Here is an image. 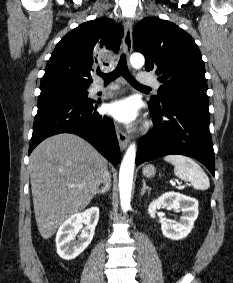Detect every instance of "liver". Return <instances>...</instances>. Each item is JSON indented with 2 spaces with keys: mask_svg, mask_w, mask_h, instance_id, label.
Wrapping results in <instances>:
<instances>
[{
  "mask_svg": "<svg viewBox=\"0 0 233 283\" xmlns=\"http://www.w3.org/2000/svg\"><path fill=\"white\" fill-rule=\"evenodd\" d=\"M106 168V159L95 148L70 133L51 136L33 150L30 181L43 239L51 238L69 217L90 203Z\"/></svg>",
  "mask_w": 233,
  "mask_h": 283,
  "instance_id": "6515ba94",
  "label": "liver"
}]
</instances>
